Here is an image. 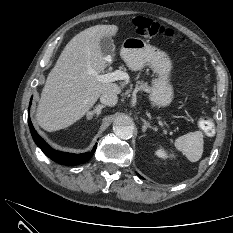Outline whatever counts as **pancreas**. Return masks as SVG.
<instances>
[{
	"label": "pancreas",
	"mask_w": 233,
	"mask_h": 233,
	"mask_svg": "<svg viewBox=\"0 0 233 233\" xmlns=\"http://www.w3.org/2000/svg\"><path fill=\"white\" fill-rule=\"evenodd\" d=\"M136 89L137 90H143V91H146V92H150V90H151V88L148 85V83L143 82V81H138L137 82Z\"/></svg>",
	"instance_id": "pancreas-1"
}]
</instances>
